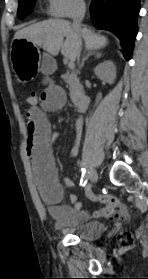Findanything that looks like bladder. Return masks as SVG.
Segmentation results:
<instances>
[{
    "label": "bladder",
    "instance_id": "31cf9c89",
    "mask_svg": "<svg viewBox=\"0 0 148 279\" xmlns=\"http://www.w3.org/2000/svg\"><path fill=\"white\" fill-rule=\"evenodd\" d=\"M59 230L82 240L93 241L105 233V225L99 221L78 223L75 225H59Z\"/></svg>",
    "mask_w": 148,
    "mask_h": 279
}]
</instances>
